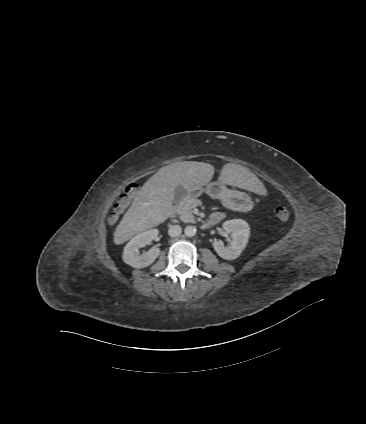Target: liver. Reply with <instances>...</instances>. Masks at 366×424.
<instances>
[{
  "label": "liver",
  "instance_id": "liver-1",
  "mask_svg": "<svg viewBox=\"0 0 366 424\" xmlns=\"http://www.w3.org/2000/svg\"><path fill=\"white\" fill-rule=\"evenodd\" d=\"M214 175L211 164L183 161L159 169L141 187L114 232V243L120 245L136 234L163 223L173 209L175 189L185 191L206 186ZM219 181L261 194L264 184L247 168L227 163L223 166Z\"/></svg>",
  "mask_w": 366,
  "mask_h": 424
}]
</instances>
